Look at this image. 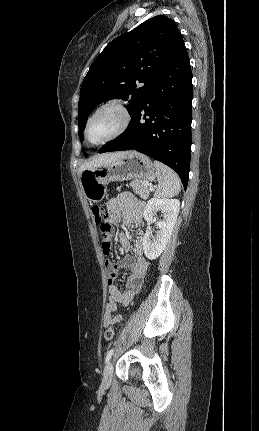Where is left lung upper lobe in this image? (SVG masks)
Here are the masks:
<instances>
[{
	"label": "left lung upper lobe",
	"instance_id": "1",
	"mask_svg": "<svg viewBox=\"0 0 259 431\" xmlns=\"http://www.w3.org/2000/svg\"><path fill=\"white\" fill-rule=\"evenodd\" d=\"M182 44L176 23L164 15L148 19L111 41L94 60L81 86L80 140L88 116L105 100H129L128 112L132 115ZM138 83L144 86L137 87Z\"/></svg>",
	"mask_w": 259,
	"mask_h": 431
}]
</instances>
